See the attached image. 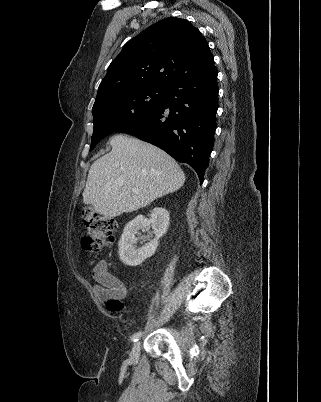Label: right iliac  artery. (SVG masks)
<instances>
[{"mask_svg":"<svg viewBox=\"0 0 321 402\" xmlns=\"http://www.w3.org/2000/svg\"><path fill=\"white\" fill-rule=\"evenodd\" d=\"M141 335H142V332H137V333H135V334L132 336L131 340H132L133 342H136V341H138V339L141 337Z\"/></svg>","mask_w":321,"mask_h":402,"instance_id":"1","label":"right iliac artery"}]
</instances>
